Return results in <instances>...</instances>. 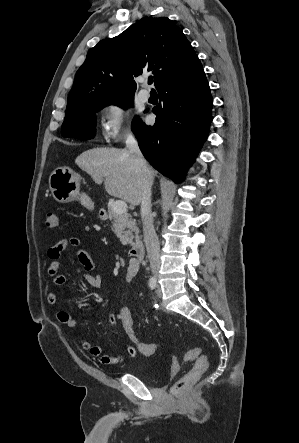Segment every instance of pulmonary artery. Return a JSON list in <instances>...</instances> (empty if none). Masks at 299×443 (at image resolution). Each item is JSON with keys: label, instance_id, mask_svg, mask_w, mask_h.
I'll return each mask as SVG.
<instances>
[{"label": "pulmonary artery", "instance_id": "pulmonary-artery-1", "mask_svg": "<svg viewBox=\"0 0 299 443\" xmlns=\"http://www.w3.org/2000/svg\"><path fill=\"white\" fill-rule=\"evenodd\" d=\"M142 83L145 84V80H142ZM150 95L149 92L147 90H141L139 93V99L143 102H147L149 99Z\"/></svg>", "mask_w": 299, "mask_h": 443}]
</instances>
